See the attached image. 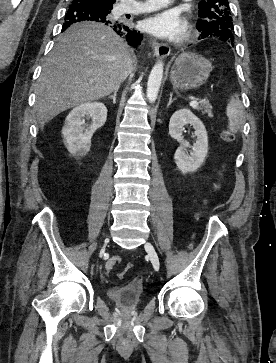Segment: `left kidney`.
<instances>
[{
	"label": "left kidney",
	"mask_w": 276,
	"mask_h": 363,
	"mask_svg": "<svg viewBox=\"0 0 276 363\" xmlns=\"http://www.w3.org/2000/svg\"><path fill=\"white\" fill-rule=\"evenodd\" d=\"M188 124L193 126L195 130L196 142L193 146H190L182 135L184 126ZM169 134L180 143L174 154L178 169L184 174L196 171L202 165L208 153V136L202 121L189 109H180L170 119ZM188 147L192 149L190 154L186 152Z\"/></svg>",
	"instance_id": "left-kidney-1"
}]
</instances>
